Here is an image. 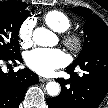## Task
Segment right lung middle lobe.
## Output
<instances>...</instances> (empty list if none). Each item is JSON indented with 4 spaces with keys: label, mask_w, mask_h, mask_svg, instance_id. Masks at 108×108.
<instances>
[{
    "label": "right lung middle lobe",
    "mask_w": 108,
    "mask_h": 108,
    "mask_svg": "<svg viewBox=\"0 0 108 108\" xmlns=\"http://www.w3.org/2000/svg\"><path fill=\"white\" fill-rule=\"evenodd\" d=\"M19 1L0 2V57L11 58L20 54L18 33L29 10Z\"/></svg>",
    "instance_id": "1"
}]
</instances>
